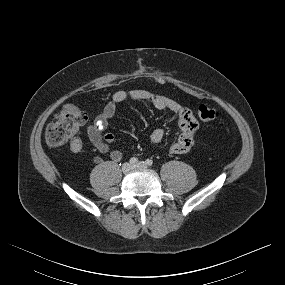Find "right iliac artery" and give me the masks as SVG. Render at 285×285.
<instances>
[{"instance_id":"1","label":"right iliac artery","mask_w":285,"mask_h":285,"mask_svg":"<svg viewBox=\"0 0 285 285\" xmlns=\"http://www.w3.org/2000/svg\"><path fill=\"white\" fill-rule=\"evenodd\" d=\"M138 162V159L136 158V157H132L130 160H129V163L131 164V165H134V164H136Z\"/></svg>"}]
</instances>
